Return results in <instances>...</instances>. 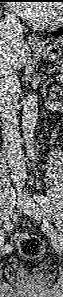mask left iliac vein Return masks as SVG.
Instances as JSON below:
<instances>
[{
  "label": "left iliac vein",
  "instance_id": "1",
  "mask_svg": "<svg viewBox=\"0 0 63 297\" xmlns=\"http://www.w3.org/2000/svg\"><path fill=\"white\" fill-rule=\"evenodd\" d=\"M18 207L25 212L26 214L33 216L36 219H41L42 217V212L39 208V206L26 199L23 196H20L19 200H18ZM47 228H48V234L50 235L51 239H52V244L54 246V248L58 251L62 250V239L61 237L57 234V231L54 229V227L51 224H47Z\"/></svg>",
  "mask_w": 63,
  "mask_h": 297
}]
</instances>
